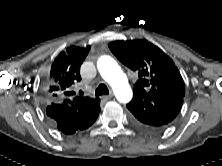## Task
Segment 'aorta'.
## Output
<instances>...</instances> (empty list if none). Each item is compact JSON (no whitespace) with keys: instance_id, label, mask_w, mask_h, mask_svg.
Masks as SVG:
<instances>
[{"instance_id":"obj_1","label":"aorta","mask_w":222,"mask_h":166,"mask_svg":"<svg viewBox=\"0 0 222 166\" xmlns=\"http://www.w3.org/2000/svg\"><path fill=\"white\" fill-rule=\"evenodd\" d=\"M97 68L103 79L112 87L117 100L128 103L133 93L127 76L118 63L112 57L104 55L98 59Z\"/></svg>"}]
</instances>
